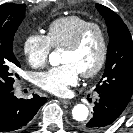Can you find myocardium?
<instances>
[{"label": "myocardium", "instance_id": "obj_1", "mask_svg": "<svg viewBox=\"0 0 133 133\" xmlns=\"http://www.w3.org/2000/svg\"><path fill=\"white\" fill-rule=\"evenodd\" d=\"M92 29L98 32L101 39L100 56L96 65L92 69L81 73V75L84 78H92L96 76L102 71V69L106 64L107 57H108L109 41H108V35L105 28L99 23L88 22L77 32L74 38L64 47L65 50H69V51L78 49L82 44L86 34Z\"/></svg>", "mask_w": 133, "mask_h": 133}]
</instances>
